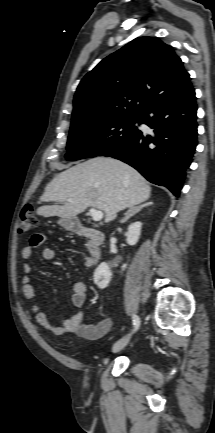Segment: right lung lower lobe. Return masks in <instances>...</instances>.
I'll list each match as a JSON object with an SVG mask.
<instances>
[{
  "label": "right lung lower lobe",
  "mask_w": 215,
  "mask_h": 433,
  "mask_svg": "<svg viewBox=\"0 0 215 433\" xmlns=\"http://www.w3.org/2000/svg\"><path fill=\"white\" fill-rule=\"evenodd\" d=\"M196 97L191 83L152 104L141 123L154 136L140 133L103 156L119 159L137 169L150 182L179 196L185 170L197 146Z\"/></svg>",
  "instance_id": "98d812e1"
}]
</instances>
